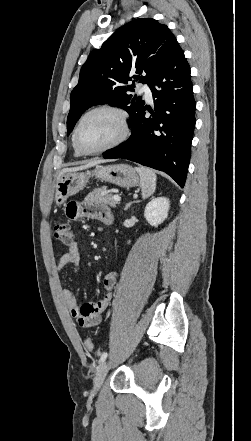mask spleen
Wrapping results in <instances>:
<instances>
[{"mask_svg": "<svg viewBox=\"0 0 251 441\" xmlns=\"http://www.w3.org/2000/svg\"><path fill=\"white\" fill-rule=\"evenodd\" d=\"M136 171L140 176L142 198H148L153 195L156 190L157 176L154 171L146 167H136Z\"/></svg>", "mask_w": 251, "mask_h": 441, "instance_id": "obj_1", "label": "spleen"}]
</instances>
